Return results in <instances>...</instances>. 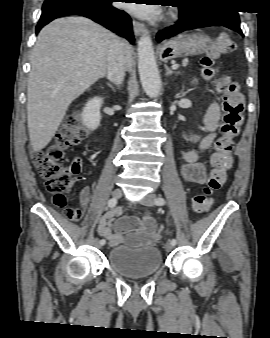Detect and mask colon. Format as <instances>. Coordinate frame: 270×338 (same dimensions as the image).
<instances>
[{"label":"colon","mask_w":270,"mask_h":338,"mask_svg":"<svg viewBox=\"0 0 270 338\" xmlns=\"http://www.w3.org/2000/svg\"><path fill=\"white\" fill-rule=\"evenodd\" d=\"M235 48L233 38L228 34L213 39L208 54L201 59L202 75L214 83L215 89L222 95L223 123L220 136L214 142L211 155L210 176L203 190L192 200L195 212L206 214L210 211L214 191L219 190L227 180V173L233 164L232 150L244 120V104L239 85L230 75H219L217 60L220 56L232 52ZM87 135L81 116L77 113L67 118L47 148L32 153V163L44 181L46 190L52 196V202L70 220H79L81 211L77 207L67 206L64 200L77 181L78 168L73 164L64 166L65 152L72 149ZM128 229L140 227L138 223H124Z\"/></svg>","instance_id":"5ec220e1"}]
</instances>
